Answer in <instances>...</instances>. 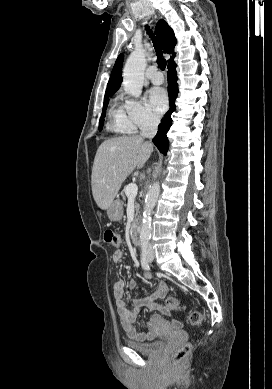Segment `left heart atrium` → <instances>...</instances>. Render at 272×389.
I'll return each mask as SVG.
<instances>
[{"mask_svg":"<svg viewBox=\"0 0 272 389\" xmlns=\"http://www.w3.org/2000/svg\"><path fill=\"white\" fill-rule=\"evenodd\" d=\"M148 106L157 114L163 113L167 108V95L161 88H152L147 93Z\"/></svg>","mask_w":272,"mask_h":389,"instance_id":"obj_1","label":"left heart atrium"}]
</instances>
